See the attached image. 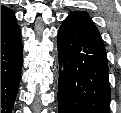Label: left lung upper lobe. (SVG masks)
I'll return each mask as SVG.
<instances>
[{"instance_id": "left-lung-upper-lobe-1", "label": "left lung upper lobe", "mask_w": 121, "mask_h": 113, "mask_svg": "<svg viewBox=\"0 0 121 113\" xmlns=\"http://www.w3.org/2000/svg\"><path fill=\"white\" fill-rule=\"evenodd\" d=\"M70 16L90 25L92 28L97 30V28L94 26L92 20L90 19L89 15L87 13H85V12H72V14Z\"/></svg>"}]
</instances>
